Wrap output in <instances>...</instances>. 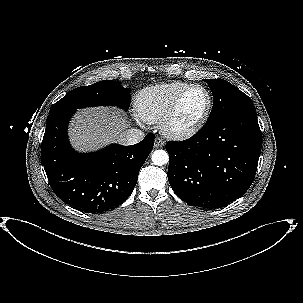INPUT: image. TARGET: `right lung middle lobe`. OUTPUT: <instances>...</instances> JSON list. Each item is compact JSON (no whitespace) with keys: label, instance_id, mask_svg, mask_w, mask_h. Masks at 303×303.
<instances>
[{"label":"right lung middle lobe","instance_id":"obj_1","mask_svg":"<svg viewBox=\"0 0 303 303\" xmlns=\"http://www.w3.org/2000/svg\"><path fill=\"white\" fill-rule=\"evenodd\" d=\"M130 101V88H124L116 81L104 80L89 86L75 88L56 102L49 113L76 111V109L100 105H116L127 110Z\"/></svg>","mask_w":303,"mask_h":303}]
</instances>
